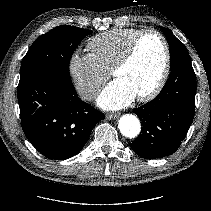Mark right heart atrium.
<instances>
[{"label":"right heart atrium","instance_id":"right-heart-atrium-1","mask_svg":"<svg viewBox=\"0 0 211 211\" xmlns=\"http://www.w3.org/2000/svg\"><path fill=\"white\" fill-rule=\"evenodd\" d=\"M68 72L78 95L86 101L96 97L108 78L91 53L74 51L68 60Z\"/></svg>","mask_w":211,"mask_h":211}]
</instances>
